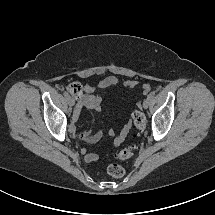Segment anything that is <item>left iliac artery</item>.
I'll return each instance as SVG.
<instances>
[{
    "label": "left iliac artery",
    "mask_w": 215,
    "mask_h": 215,
    "mask_svg": "<svg viewBox=\"0 0 215 215\" xmlns=\"http://www.w3.org/2000/svg\"><path fill=\"white\" fill-rule=\"evenodd\" d=\"M155 93L154 92H150L147 96V98L152 99L154 97Z\"/></svg>",
    "instance_id": "44dca946"
}]
</instances>
